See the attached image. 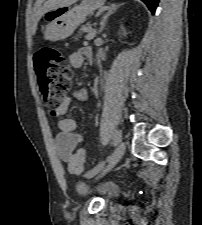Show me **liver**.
Listing matches in <instances>:
<instances>
[{
    "label": "liver",
    "instance_id": "6515ba94",
    "mask_svg": "<svg viewBox=\"0 0 202 225\" xmlns=\"http://www.w3.org/2000/svg\"><path fill=\"white\" fill-rule=\"evenodd\" d=\"M78 0H47L44 5L38 9L36 13V20L33 25V33L36 31L37 23L42 16H44L47 12L55 10L59 7H67L76 3Z\"/></svg>",
    "mask_w": 202,
    "mask_h": 225
}]
</instances>
